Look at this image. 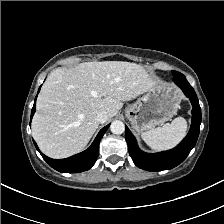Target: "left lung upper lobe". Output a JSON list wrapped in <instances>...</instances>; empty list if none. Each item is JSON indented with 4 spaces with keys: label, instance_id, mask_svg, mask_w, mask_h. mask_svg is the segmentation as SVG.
<instances>
[{
    "label": "left lung upper lobe",
    "instance_id": "obj_1",
    "mask_svg": "<svg viewBox=\"0 0 224 224\" xmlns=\"http://www.w3.org/2000/svg\"><path fill=\"white\" fill-rule=\"evenodd\" d=\"M172 74H173L174 77H176V76H179L181 73L176 72V71H172Z\"/></svg>",
    "mask_w": 224,
    "mask_h": 224
}]
</instances>
